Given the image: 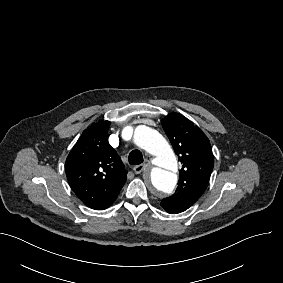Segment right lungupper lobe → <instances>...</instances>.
<instances>
[{"label":"right lung upper lobe","instance_id":"right-lung-upper-lobe-1","mask_svg":"<svg viewBox=\"0 0 283 283\" xmlns=\"http://www.w3.org/2000/svg\"><path fill=\"white\" fill-rule=\"evenodd\" d=\"M109 125L102 120L84 130L65 163L70 187L95 210L112 205L127 178L124 164L108 143Z\"/></svg>","mask_w":283,"mask_h":283}]
</instances>
